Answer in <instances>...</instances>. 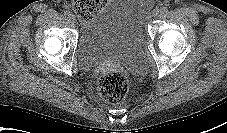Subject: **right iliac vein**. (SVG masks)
<instances>
[{
    "label": "right iliac vein",
    "mask_w": 227,
    "mask_h": 133,
    "mask_svg": "<svg viewBox=\"0 0 227 133\" xmlns=\"http://www.w3.org/2000/svg\"><path fill=\"white\" fill-rule=\"evenodd\" d=\"M69 17H70V20H71L72 22H75V21H76V18H75V16H74L73 14H71Z\"/></svg>",
    "instance_id": "right-iliac-vein-1"
}]
</instances>
